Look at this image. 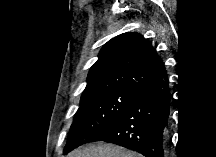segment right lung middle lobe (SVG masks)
Listing matches in <instances>:
<instances>
[{
    "mask_svg": "<svg viewBox=\"0 0 216 157\" xmlns=\"http://www.w3.org/2000/svg\"><path fill=\"white\" fill-rule=\"evenodd\" d=\"M133 89L118 88L81 98L63 153L92 142L123 113Z\"/></svg>",
    "mask_w": 216,
    "mask_h": 157,
    "instance_id": "dd1d6c3e",
    "label": "right lung middle lobe"
}]
</instances>
